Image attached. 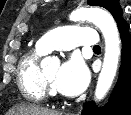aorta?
Listing matches in <instances>:
<instances>
[{
	"mask_svg": "<svg viewBox=\"0 0 131 115\" xmlns=\"http://www.w3.org/2000/svg\"><path fill=\"white\" fill-rule=\"evenodd\" d=\"M70 19L73 21L90 20L101 30L104 36V61L95 89V99L101 100L113 83L119 62L120 39L116 23L108 12L99 8L77 9L72 12Z\"/></svg>",
	"mask_w": 131,
	"mask_h": 115,
	"instance_id": "obj_1",
	"label": "aorta"
}]
</instances>
